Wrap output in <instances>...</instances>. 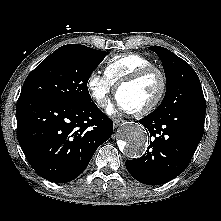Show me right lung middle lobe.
I'll return each instance as SVG.
<instances>
[{"mask_svg": "<svg viewBox=\"0 0 221 221\" xmlns=\"http://www.w3.org/2000/svg\"><path fill=\"white\" fill-rule=\"evenodd\" d=\"M105 55V51L84 45H64L28 75L20 97H36L67 104L90 103L87 83Z\"/></svg>", "mask_w": 221, "mask_h": 221, "instance_id": "obj_1", "label": "right lung middle lobe"}]
</instances>
